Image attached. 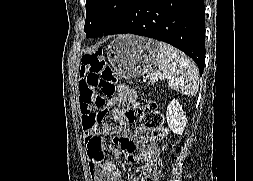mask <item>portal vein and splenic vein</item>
<instances>
[{"mask_svg": "<svg viewBox=\"0 0 253 181\" xmlns=\"http://www.w3.org/2000/svg\"><path fill=\"white\" fill-rule=\"evenodd\" d=\"M158 78H163V77H160L157 74H152L149 79L150 81L155 82L158 80Z\"/></svg>", "mask_w": 253, "mask_h": 181, "instance_id": "1", "label": "portal vein and splenic vein"}]
</instances>
